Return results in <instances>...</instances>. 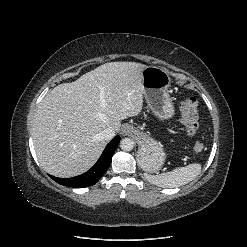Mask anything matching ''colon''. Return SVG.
I'll list each match as a JSON object with an SVG mask.
<instances>
[{
  "mask_svg": "<svg viewBox=\"0 0 247 247\" xmlns=\"http://www.w3.org/2000/svg\"><path fill=\"white\" fill-rule=\"evenodd\" d=\"M181 111V125L185 133L192 135L198 128V101L194 97H189L183 100L180 104ZM204 149L202 141L197 140L193 144V151L195 153H201Z\"/></svg>",
  "mask_w": 247,
  "mask_h": 247,
  "instance_id": "1",
  "label": "colon"
}]
</instances>
